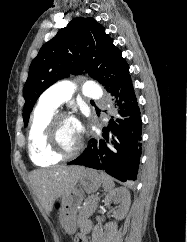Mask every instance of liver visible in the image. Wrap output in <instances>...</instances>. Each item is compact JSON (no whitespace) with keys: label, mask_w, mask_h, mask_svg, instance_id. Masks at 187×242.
Instances as JSON below:
<instances>
[{"label":"liver","mask_w":187,"mask_h":242,"mask_svg":"<svg viewBox=\"0 0 187 242\" xmlns=\"http://www.w3.org/2000/svg\"><path fill=\"white\" fill-rule=\"evenodd\" d=\"M84 167L58 166L33 171L30 182L44 209L52 211L55 201L72 190Z\"/></svg>","instance_id":"liver-1"}]
</instances>
